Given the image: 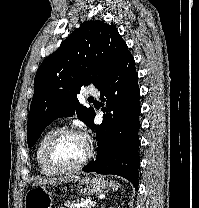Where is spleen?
I'll list each match as a JSON object with an SVG mask.
<instances>
[{
  "label": "spleen",
  "instance_id": "3e777b00",
  "mask_svg": "<svg viewBox=\"0 0 199 208\" xmlns=\"http://www.w3.org/2000/svg\"><path fill=\"white\" fill-rule=\"evenodd\" d=\"M110 185H111L113 191H117L119 188V184L115 181H110Z\"/></svg>",
  "mask_w": 199,
  "mask_h": 208
}]
</instances>
